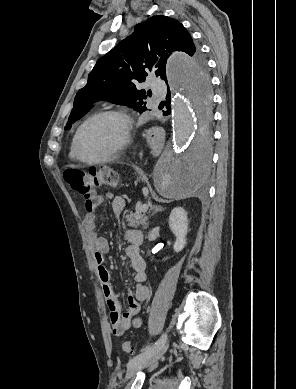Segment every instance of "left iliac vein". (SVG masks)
Here are the masks:
<instances>
[{"mask_svg":"<svg viewBox=\"0 0 296 389\" xmlns=\"http://www.w3.org/2000/svg\"><path fill=\"white\" fill-rule=\"evenodd\" d=\"M168 343L165 341L158 349L149 357L141 360L137 364L128 368L126 373V379L133 378L140 370L155 364L167 351Z\"/></svg>","mask_w":296,"mask_h":389,"instance_id":"obj_1","label":"left iliac vein"}]
</instances>
